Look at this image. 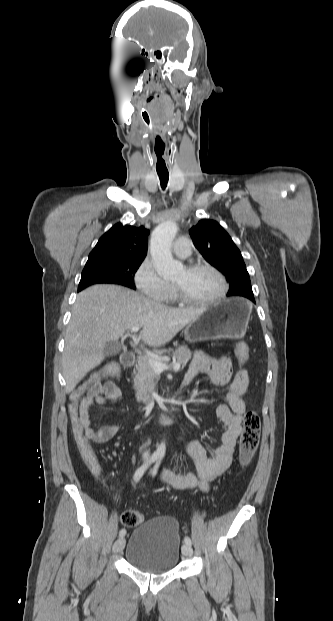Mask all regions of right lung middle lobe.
I'll return each mask as SVG.
<instances>
[{
  "mask_svg": "<svg viewBox=\"0 0 333 621\" xmlns=\"http://www.w3.org/2000/svg\"><path fill=\"white\" fill-rule=\"evenodd\" d=\"M141 263V260L129 259L87 261L78 291L98 283H113L136 289L133 283L134 274Z\"/></svg>",
  "mask_w": 333,
  "mask_h": 621,
  "instance_id": "1",
  "label": "right lung middle lobe"
}]
</instances>
